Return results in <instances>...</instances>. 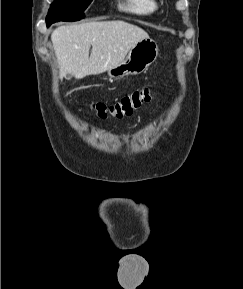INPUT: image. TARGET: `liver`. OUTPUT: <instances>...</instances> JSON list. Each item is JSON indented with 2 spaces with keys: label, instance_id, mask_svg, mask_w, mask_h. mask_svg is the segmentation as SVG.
<instances>
[{
  "label": "liver",
  "instance_id": "liver-1",
  "mask_svg": "<svg viewBox=\"0 0 243 289\" xmlns=\"http://www.w3.org/2000/svg\"><path fill=\"white\" fill-rule=\"evenodd\" d=\"M144 38H149V35L142 28L124 21L64 25L51 34L60 77L71 74L76 79L98 75L116 67Z\"/></svg>",
  "mask_w": 243,
  "mask_h": 289
}]
</instances>
